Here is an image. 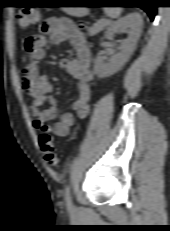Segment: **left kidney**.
Here are the masks:
<instances>
[{"instance_id":"obj_1","label":"left kidney","mask_w":170,"mask_h":231,"mask_svg":"<svg viewBox=\"0 0 170 231\" xmlns=\"http://www.w3.org/2000/svg\"><path fill=\"white\" fill-rule=\"evenodd\" d=\"M142 23L143 20L139 13H130L108 27L105 33L106 38L111 39L120 30H127L128 38L122 41L121 51L113 55L108 61L101 56L95 58L94 71L98 77L110 76L124 66L136 47L142 31Z\"/></svg>"}]
</instances>
